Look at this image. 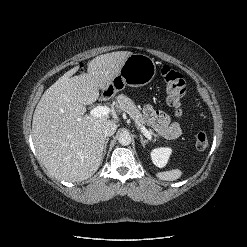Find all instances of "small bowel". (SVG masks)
<instances>
[{"instance_id":"obj_1","label":"small bowel","mask_w":247,"mask_h":247,"mask_svg":"<svg viewBox=\"0 0 247 247\" xmlns=\"http://www.w3.org/2000/svg\"><path fill=\"white\" fill-rule=\"evenodd\" d=\"M143 113L146 122L161 136L173 139L181 134L180 125L173 122L168 113L155 110L151 105H145Z\"/></svg>"}]
</instances>
